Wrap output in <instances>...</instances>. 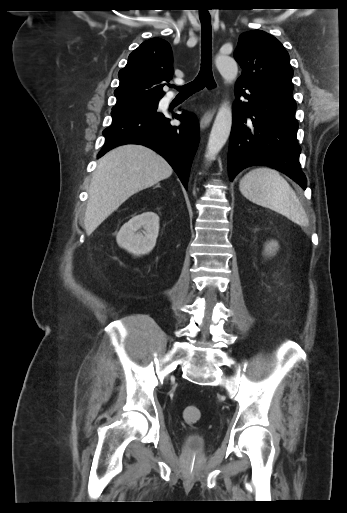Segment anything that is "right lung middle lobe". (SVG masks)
Masks as SVG:
<instances>
[{
  "mask_svg": "<svg viewBox=\"0 0 347 513\" xmlns=\"http://www.w3.org/2000/svg\"><path fill=\"white\" fill-rule=\"evenodd\" d=\"M159 99H148L142 100L136 103L127 104V105H117L112 108V117L132 114L137 112H150L156 111L158 108Z\"/></svg>",
  "mask_w": 347,
  "mask_h": 513,
  "instance_id": "obj_1",
  "label": "right lung middle lobe"
}]
</instances>
